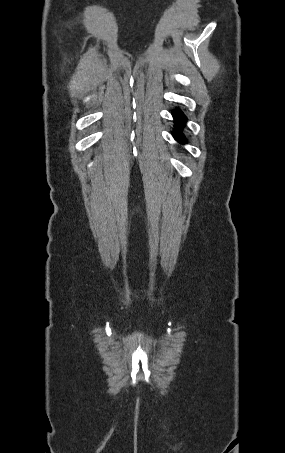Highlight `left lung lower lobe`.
I'll return each instance as SVG.
<instances>
[{
	"label": "left lung lower lobe",
	"mask_w": 285,
	"mask_h": 453,
	"mask_svg": "<svg viewBox=\"0 0 285 453\" xmlns=\"http://www.w3.org/2000/svg\"><path fill=\"white\" fill-rule=\"evenodd\" d=\"M172 114H173V117H174V119H175V124H176L175 130H174V132H173V136H174L175 139L178 140L179 142L185 143V142H186V139H185V137L183 136V134L181 133L180 127L184 126L185 121H186V117H185L184 114H183L180 110H178V109H177L176 111H173Z\"/></svg>",
	"instance_id": "left-lung-lower-lobe-1"
}]
</instances>
